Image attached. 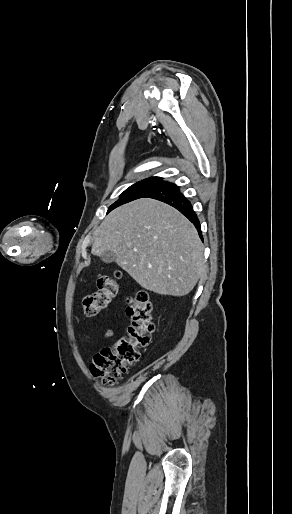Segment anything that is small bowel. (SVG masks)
I'll return each mask as SVG.
<instances>
[{
	"label": "small bowel",
	"mask_w": 292,
	"mask_h": 514,
	"mask_svg": "<svg viewBox=\"0 0 292 514\" xmlns=\"http://www.w3.org/2000/svg\"><path fill=\"white\" fill-rule=\"evenodd\" d=\"M116 334H117L116 329H108V330H105L102 333H100L99 337L101 339H110V338L114 337Z\"/></svg>",
	"instance_id": "small-bowel-1"
}]
</instances>
